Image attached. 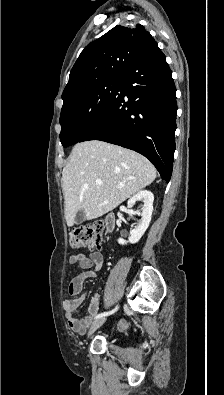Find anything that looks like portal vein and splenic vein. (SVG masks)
<instances>
[{
  "label": "portal vein and splenic vein",
  "instance_id": "portal-vein-and-splenic-vein-1",
  "mask_svg": "<svg viewBox=\"0 0 224 395\" xmlns=\"http://www.w3.org/2000/svg\"><path fill=\"white\" fill-rule=\"evenodd\" d=\"M96 185L101 186L102 185V181L97 180L96 181ZM118 188H121V186H119Z\"/></svg>",
  "mask_w": 224,
  "mask_h": 395
}]
</instances>
